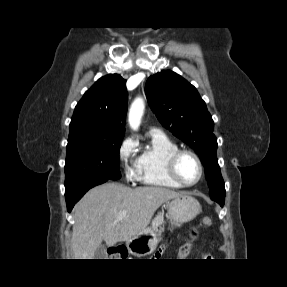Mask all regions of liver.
I'll return each instance as SVG.
<instances>
[{"instance_id":"1","label":"liver","mask_w":287,"mask_h":287,"mask_svg":"<svg viewBox=\"0 0 287 287\" xmlns=\"http://www.w3.org/2000/svg\"><path fill=\"white\" fill-rule=\"evenodd\" d=\"M173 190L145 186L132 189L108 182L91 189L75 206L71 249L74 259H95L105 241L108 246L127 241L146 229L155 211L181 196ZM127 215L118 220V214Z\"/></svg>"}]
</instances>
